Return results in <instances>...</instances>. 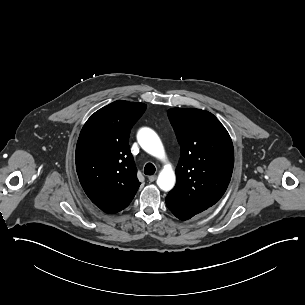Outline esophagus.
<instances>
[{
  "instance_id": "1",
  "label": "esophagus",
  "mask_w": 305,
  "mask_h": 305,
  "mask_svg": "<svg viewBox=\"0 0 305 305\" xmlns=\"http://www.w3.org/2000/svg\"><path fill=\"white\" fill-rule=\"evenodd\" d=\"M148 179H149L150 182H154L157 179V176L152 175V176H149Z\"/></svg>"
}]
</instances>
